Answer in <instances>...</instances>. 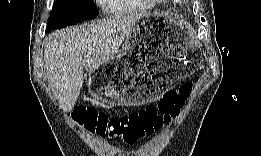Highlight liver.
Instances as JSON below:
<instances>
[{"instance_id": "liver-1", "label": "liver", "mask_w": 261, "mask_h": 156, "mask_svg": "<svg viewBox=\"0 0 261 156\" xmlns=\"http://www.w3.org/2000/svg\"><path fill=\"white\" fill-rule=\"evenodd\" d=\"M141 15H115L96 23L49 34L44 41V62L49 83L59 92L64 112L74 108L84 82L109 62Z\"/></svg>"}]
</instances>
